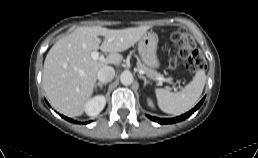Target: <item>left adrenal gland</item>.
Listing matches in <instances>:
<instances>
[{
	"instance_id": "left-adrenal-gland-1",
	"label": "left adrenal gland",
	"mask_w": 258,
	"mask_h": 158,
	"mask_svg": "<svg viewBox=\"0 0 258 158\" xmlns=\"http://www.w3.org/2000/svg\"><path fill=\"white\" fill-rule=\"evenodd\" d=\"M139 78L144 81V87L149 83V81L142 75H139Z\"/></svg>"
}]
</instances>
